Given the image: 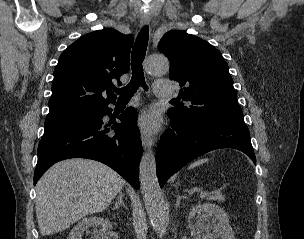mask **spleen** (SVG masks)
<instances>
[{
	"label": "spleen",
	"mask_w": 304,
	"mask_h": 239,
	"mask_svg": "<svg viewBox=\"0 0 304 239\" xmlns=\"http://www.w3.org/2000/svg\"><path fill=\"white\" fill-rule=\"evenodd\" d=\"M207 161H208V159H200V160H197V161L193 162V163L189 166V169L195 168V167H197V166H199V165H201V164H203V163H205V162H207Z\"/></svg>",
	"instance_id": "1"
}]
</instances>
